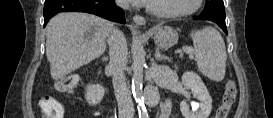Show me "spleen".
I'll return each instance as SVG.
<instances>
[{
    "mask_svg": "<svg viewBox=\"0 0 273 118\" xmlns=\"http://www.w3.org/2000/svg\"><path fill=\"white\" fill-rule=\"evenodd\" d=\"M194 53L199 70L210 80L220 82L225 76L226 48L223 38L215 28L191 32Z\"/></svg>",
    "mask_w": 273,
    "mask_h": 118,
    "instance_id": "obj_1",
    "label": "spleen"
}]
</instances>
